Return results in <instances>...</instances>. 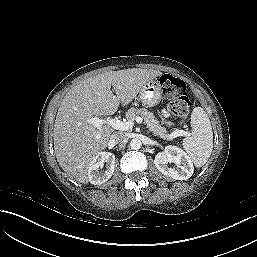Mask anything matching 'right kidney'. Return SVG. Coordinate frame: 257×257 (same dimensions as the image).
<instances>
[{
    "label": "right kidney",
    "mask_w": 257,
    "mask_h": 257,
    "mask_svg": "<svg viewBox=\"0 0 257 257\" xmlns=\"http://www.w3.org/2000/svg\"><path fill=\"white\" fill-rule=\"evenodd\" d=\"M106 167L105 171L102 168ZM115 168V155L111 152H99L88 167V178L91 184L101 185L113 175Z\"/></svg>",
    "instance_id": "ca27d5eb"
}]
</instances>
